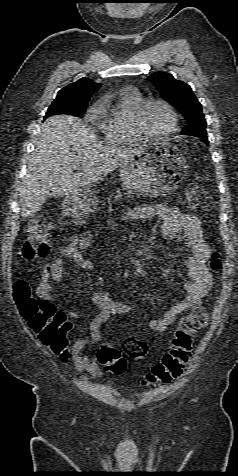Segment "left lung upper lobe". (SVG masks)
Instances as JSON below:
<instances>
[{"instance_id": "1", "label": "left lung upper lobe", "mask_w": 238, "mask_h": 476, "mask_svg": "<svg viewBox=\"0 0 238 476\" xmlns=\"http://www.w3.org/2000/svg\"><path fill=\"white\" fill-rule=\"evenodd\" d=\"M149 78L161 96L171 103L187 120L188 125L182 129L181 133L200 137L206 142L208 139L205 130V116L191 87L185 82L176 80L166 72H154Z\"/></svg>"}]
</instances>
